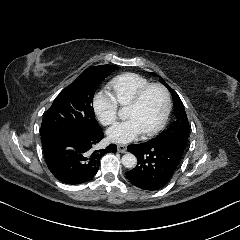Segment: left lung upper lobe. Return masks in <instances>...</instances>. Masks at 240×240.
I'll return each instance as SVG.
<instances>
[{
	"label": "left lung upper lobe",
	"instance_id": "1",
	"mask_svg": "<svg viewBox=\"0 0 240 240\" xmlns=\"http://www.w3.org/2000/svg\"><path fill=\"white\" fill-rule=\"evenodd\" d=\"M152 74L154 76L156 75L155 73ZM160 80L161 83L164 84L172 94L176 120L167 130H163L157 137L151 139V141L175 140L186 145L189 136V123L184 105L177 93L171 89L162 78H160Z\"/></svg>",
	"mask_w": 240,
	"mask_h": 240
}]
</instances>
